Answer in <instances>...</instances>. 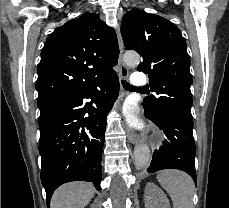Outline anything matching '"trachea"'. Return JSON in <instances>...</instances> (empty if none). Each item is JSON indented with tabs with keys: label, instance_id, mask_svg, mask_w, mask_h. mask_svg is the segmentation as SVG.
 Wrapping results in <instances>:
<instances>
[{
	"label": "trachea",
	"instance_id": "trachea-1",
	"mask_svg": "<svg viewBox=\"0 0 229 208\" xmlns=\"http://www.w3.org/2000/svg\"><path fill=\"white\" fill-rule=\"evenodd\" d=\"M122 85L125 89L127 88H137V87H133V85H130V83L126 82V80H122Z\"/></svg>",
	"mask_w": 229,
	"mask_h": 208
}]
</instances>
